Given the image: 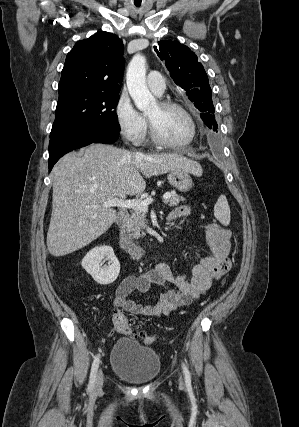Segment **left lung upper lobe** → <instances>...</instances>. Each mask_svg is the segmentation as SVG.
I'll return each instance as SVG.
<instances>
[{"mask_svg": "<svg viewBox=\"0 0 299 427\" xmlns=\"http://www.w3.org/2000/svg\"><path fill=\"white\" fill-rule=\"evenodd\" d=\"M158 56L165 61L170 75L177 85L186 90L200 116L210 129L217 130L212 91L208 77L194 52L178 41H159Z\"/></svg>", "mask_w": 299, "mask_h": 427, "instance_id": "left-lung-upper-lobe-1", "label": "left lung upper lobe"}]
</instances>
